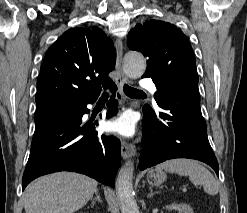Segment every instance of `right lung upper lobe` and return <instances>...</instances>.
I'll return each mask as SVG.
<instances>
[{
	"instance_id": "1",
	"label": "right lung upper lobe",
	"mask_w": 247,
	"mask_h": 213,
	"mask_svg": "<svg viewBox=\"0 0 247 213\" xmlns=\"http://www.w3.org/2000/svg\"><path fill=\"white\" fill-rule=\"evenodd\" d=\"M112 40L98 27L71 28L48 49L37 81L36 109L60 97H97L111 86Z\"/></svg>"
}]
</instances>
